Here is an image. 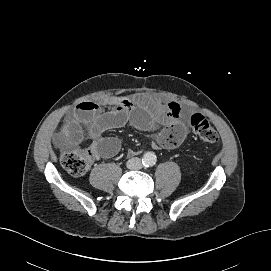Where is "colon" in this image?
Returning a JSON list of instances; mask_svg holds the SVG:
<instances>
[{
    "instance_id": "1",
    "label": "colon",
    "mask_w": 271,
    "mask_h": 271,
    "mask_svg": "<svg viewBox=\"0 0 271 271\" xmlns=\"http://www.w3.org/2000/svg\"><path fill=\"white\" fill-rule=\"evenodd\" d=\"M189 124L193 132L203 142L215 144L219 140L217 131L201 113L195 112L190 115ZM95 153L92 149H75L63 155L61 163L64 169L72 176H82L90 168Z\"/></svg>"
}]
</instances>
